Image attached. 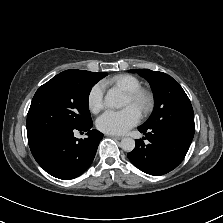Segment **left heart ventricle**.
<instances>
[{"mask_svg": "<svg viewBox=\"0 0 223 223\" xmlns=\"http://www.w3.org/2000/svg\"><path fill=\"white\" fill-rule=\"evenodd\" d=\"M130 104H132L131 101L129 100L128 97H126L124 106H125V105H130ZM132 105H133V104H132ZM134 106H135V105H134ZM135 107L137 108V106H135ZM137 109H138V108H137Z\"/></svg>", "mask_w": 223, "mask_h": 223, "instance_id": "left-heart-ventricle-1", "label": "left heart ventricle"}]
</instances>
